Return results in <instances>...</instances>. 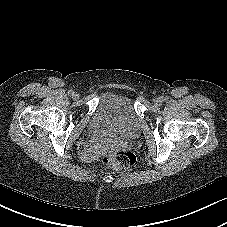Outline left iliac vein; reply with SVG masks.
Returning a JSON list of instances; mask_svg holds the SVG:
<instances>
[{
    "mask_svg": "<svg viewBox=\"0 0 227 227\" xmlns=\"http://www.w3.org/2000/svg\"><path fill=\"white\" fill-rule=\"evenodd\" d=\"M161 103H162L161 98H155V99H153L154 106L158 107V106L161 105Z\"/></svg>",
    "mask_w": 227,
    "mask_h": 227,
    "instance_id": "left-iliac-vein-1",
    "label": "left iliac vein"
}]
</instances>
